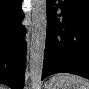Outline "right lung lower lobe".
I'll use <instances>...</instances> for the list:
<instances>
[{
	"instance_id": "right-lung-lower-lobe-1",
	"label": "right lung lower lobe",
	"mask_w": 89,
	"mask_h": 89,
	"mask_svg": "<svg viewBox=\"0 0 89 89\" xmlns=\"http://www.w3.org/2000/svg\"><path fill=\"white\" fill-rule=\"evenodd\" d=\"M22 0H0V83L22 89L26 66Z\"/></svg>"
}]
</instances>
